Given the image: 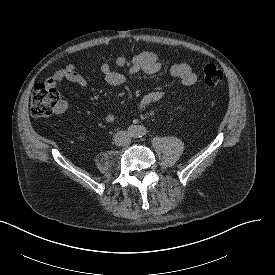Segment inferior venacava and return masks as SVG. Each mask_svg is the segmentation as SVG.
<instances>
[{
  "mask_svg": "<svg viewBox=\"0 0 275 275\" xmlns=\"http://www.w3.org/2000/svg\"><path fill=\"white\" fill-rule=\"evenodd\" d=\"M131 141L130 136L126 131H119L114 136V143L118 146H125Z\"/></svg>",
  "mask_w": 275,
  "mask_h": 275,
  "instance_id": "1",
  "label": "inferior vena cava"
}]
</instances>
